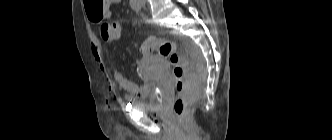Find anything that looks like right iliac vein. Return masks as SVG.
Wrapping results in <instances>:
<instances>
[{
  "label": "right iliac vein",
  "mask_w": 332,
  "mask_h": 140,
  "mask_svg": "<svg viewBox=\"0 0 332 140\" xmlns=\"http://www.w3.org/2000/svg\"><path fill=\"white\" fill-rule=\"evenodd\" d=\"M140 3L144 4L146 2V0H139Z\"/></svg>",
  "instance_id": "right-iliac-vein-1"
}]
</instances>
